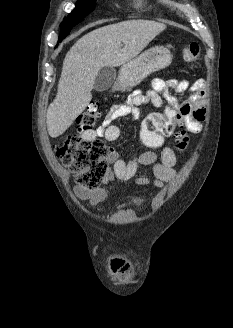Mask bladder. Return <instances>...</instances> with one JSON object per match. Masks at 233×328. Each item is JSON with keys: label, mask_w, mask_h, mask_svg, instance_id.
<instances>
[{"label": "bladder", "mask_w": 233, "mask_h": 328, "mask_svg": "<svg viewBox=\"0 0 233 328\" xmlns=\"http://www.w3.org/2000/svg\"><path fill=\"white\" fill-rule=\"evenodd\" d=\"M133 202H134L135 204H140V203H141V199H140V198H135V199L133 200Z\"/></svg>", "instance_id": "bladder-1"}]
</instances>
